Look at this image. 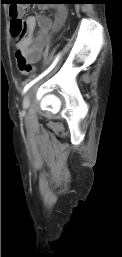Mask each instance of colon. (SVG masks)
I'll return each mask as SVG.
<instances>
[{
    "label": "colon",
    "mask_w": 122,
    "mask_h": 257,
    "mask_svg": "<svg viewBox=\"0 0 122 257\" xmlns=\"http://www.w3.org/2000/svg\"><path fill=\"white\" fill-rule=\"evenodd\" d=\"M27 9V5H7V10H9V15L11 17V34L15 38H21L25 33L26 23L21 18L19 10ZM15 58L17 68L22 74L29 75L34 71L33 65L22 55L20 51L17 50Z\"/></svg>",
    "instance_id": "1"
}]
</instances>
